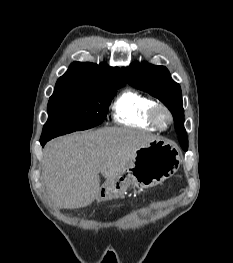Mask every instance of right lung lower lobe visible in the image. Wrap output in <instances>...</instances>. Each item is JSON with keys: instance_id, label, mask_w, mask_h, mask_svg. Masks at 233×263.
Segmentation results:
<instances>
[{"instance_id": "right-lung-lower-lobe-1", "label": "right lung lower lobe", "mask_w": 233, "mask_h": 263, "mask_svg": "<svg viewBox=\"0 0 233 263\" xmlns=\"http://www.w3.org/2000/svg\"><path fill=\"white\" fill-rule=\"evenodd\" d=\"M47 141H49V140H40L42 147H44V145L46 144Z\"/></svg>"}]
</instances>
